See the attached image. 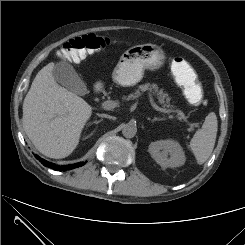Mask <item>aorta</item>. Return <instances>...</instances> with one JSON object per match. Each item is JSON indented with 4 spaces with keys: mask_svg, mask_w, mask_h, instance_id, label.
<instances>
[{
    "mask_svg": "<svg viewBox=\"0 0 245 245\" xmlns=\"http://www.w3.org/2000/svg\"><path fill=\"white\" fill-rule=\"evenodd\" d=\"M137 133L136 124L129 122L125 124L122 128V134L126 138H133Z\"/></svg>",
    "mask_w": 245,
    "mask_h": 245,
    "instance_id": "aorta-1",
    "label": "aorta"
}]
</instances>
